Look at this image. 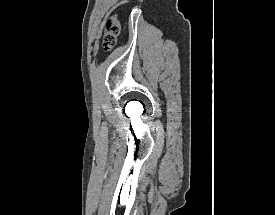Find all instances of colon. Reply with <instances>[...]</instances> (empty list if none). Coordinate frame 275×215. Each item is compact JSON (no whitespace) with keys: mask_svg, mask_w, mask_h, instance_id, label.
I'll return each instance as SVG.
<instances>
[{"mask_svg":"<svg viewBox=\"0 0 275 215\" xmlns=\"http://www.w3.org/2000/svg\"><path fill=\"white\" fill-rule=\"evenodd\" d=\"M120 28L115 16L110 17L105 23L102 47L105 51H110L116 44Z\"/></svg>","mask_w":275,"mask_h":215,"instance_id":"obj_1","label":"colon"}]
</instances>
